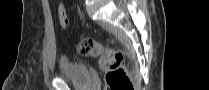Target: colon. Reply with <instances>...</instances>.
<instances>
[{
  "instance_id": "5ec220e1",
  "label": "colon",
  "mask_w": 209,
  "mask_h": 90,
  "mask_svg": "<svg viewBox=\"0 0 209 90\" xmlns=\"http://www.w3.org/2000/svg\"><path fill=\"white\" fill-rule=\"evenodd\" d=\"M58 19L62 28L68 26L67 11L62 4L58 7ZM78 52L82 56L99 58L100 68L105 74V83L109 90H133L121 52L106 48L90 37L79 41Z\"/></svg>"
}]
</instances>
